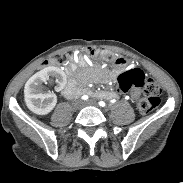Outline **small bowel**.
<instances>
[{
	"label": "small bowel",
	"instance_id": "obj_1",
	"mask_svg": "<svg viewBox=\"0 0 183 183\" xmlns=\"http://www.w3.org/2000/svg\"><path fill=\"white\" fill-rule=\"evenodd\" d=\"M80 64L82 66H86L85 61L80 60ZM118 72H115L113 75H116ZM93 96L97 97V98H106V99H111L115 96L114 92H109V91H98L93 93Z\"/></svg>",
	"mask_w": 183,
	"mask_h": 183
}]
</instances>
